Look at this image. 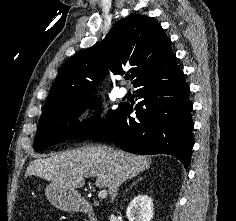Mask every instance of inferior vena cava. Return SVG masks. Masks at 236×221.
Returning a JSON list of instances; mask_svg holds the SVG:
<instances>
[{
	"label": "inferior vena cava",
	"instance_id": "obj_1",
	"mask_svg": "<svg viewBox=\"0 0 236 221\" xmlns=\"http://www.w3.org/2000/svg\"><path fill=\"white\" fill-rule=\"evenodd\" d=\"M120 184H121V182L118 181V182L116 183V186L114 187V189H113L112 192L110 193V194H111V200H112V201L114 200V198H115L116 195H117V191H118V188H119Z\"/></svg>",
	"mask_w": 236,
	"mask_h": 221
}]
</instances>
